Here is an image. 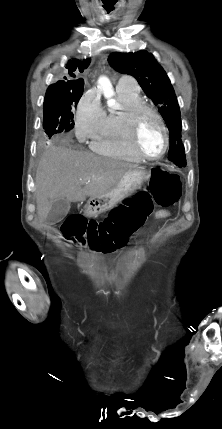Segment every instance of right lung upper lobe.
<instances>
[{"label": "right lung upper lobe", "instance_id": "1", "mask_svg": "<svg viewBox=\"0 0 222 429\" xmlns=\"http://www.w3.org/2000/svg\"><path fill=\"white\" fill-rule=\"evenodd\" d=\"M90 64V59L86 60H69L63 69L65 76L63 80L49 86L48 91H66L72 89L78 84H84L83 79L79 78V73L83 72Z\"/></svg>", "mask_w": 222, "mask_h": 429}]
</instances>
